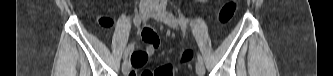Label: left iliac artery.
<instances>
[{
    "label": "left iliac artery",
    "mask_w": 333,
    "mask_h": 76,
    "mask_svg": "<svg viewBox=\"0 0 333 76\" xmlns=\"http://www.w3.org/2000/svg\"><path fill=\"white\" fill-rule=\"evenodd\" d=\"M161 5H162L163 9H166V1H164V0L161 1ZM178 23L181 25V27L183 29H186L188 20L183 16H179L178 17ZM197 59H198L199 62H203V58L200 54L197 55Z\"/></svg>",
    "instance_id": "44dca946"
}]
</instances>
